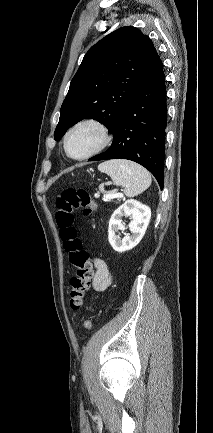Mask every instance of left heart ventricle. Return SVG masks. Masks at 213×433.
I'll return each mask as SVG.
<instances>
[{"label": "left heart ventricle", "mask_w": 213, "mask_h": 433, "mask_svg": "<svg viewBox=\"0 0 213 433\" xmlns=\"http://www.w3.org/2000/svg\"><path fill=\"white\" fill-rule=\"evenodd\" d=\"M99 131L92 126H84L74 131L68 142L69 151L73 156H83L92 151L100 142Z\"/></svg>", "instance_id": "1"}]
</instances>
